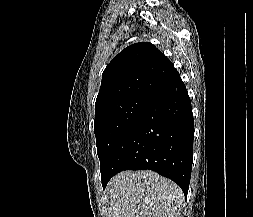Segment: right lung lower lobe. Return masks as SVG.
I'll list each match as a JSON object with an SVG mask.
<instances>
[{"label": "right lung lower lobe", "instance_id": "1", "mask_svg": "<svg viewBox=\"0 0 253 217\" xmlns=\"http://www.w3.org/2000/svg\"><path fill=\"white\" fill-rule=\"evenodd\" d=\"M193 140L191 101L179 77L150 100L120 136L101 175L103 188L118 172L149 169L173 180L186 196Z\"/></svg>", "mask_w": 253, "mask_h": 217}]
</instances>
